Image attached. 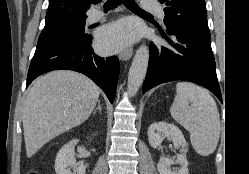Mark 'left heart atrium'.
I'll return each instance as SVG.
<instances>
[{"mask_svg":"<svg viewBox=\"0 0 249 174\" xmlns=\"http://www.w3.org/2000/svg\"><path fill=\"white\" fill-rule=\"evenodd\" d=\"M140 27L131 19H124L105 27L98 35V47L106 53L120 50L140 35Z\"/></svg>","mask_w":249,"mask_h":174,"instance_id":"1","label":"left heart atrium"}]
</instances>
